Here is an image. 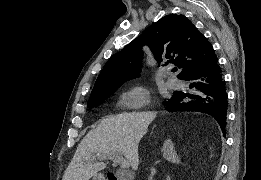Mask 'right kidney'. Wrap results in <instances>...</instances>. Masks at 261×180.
<instances>
[{
    "label": "right kidney",
    "mask_w": 261,
    "mask_h": 180,
    "mask_svg": "<svg viewBox=\"0 0 261 180\" xmlns=\"http://www.w3.org/2000/svg\"><path fill=\"white\" fill-rule=\"evenodd\" d=\"M163 158L172 162V164H179L180 162L171 140H165V144H163Z\"/></svg>",
    "instance_id": "1"
}]
</instances>
